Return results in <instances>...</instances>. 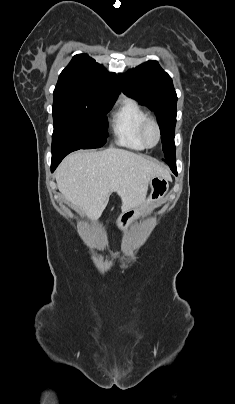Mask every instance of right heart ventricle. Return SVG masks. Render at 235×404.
Segmentation results:
<instances>
[{
    "label": "right heart ventricle",
    "mask_w": 235,
    "mask_h": 404,
    "mask_svg": "<svg viewBox=\"0 0 235 404\" xmlns=\"http://www.w3.org/2000/svg\"><path fill=\"white\" fill-rule=\"evenodd\" d=\"M148 117L145 110L133 99L123 100L113 116L112 130L118 144L134 150H143L140 128Z\"/></svg>",
    "instance_id": "obj_1"
}]
</instances>
